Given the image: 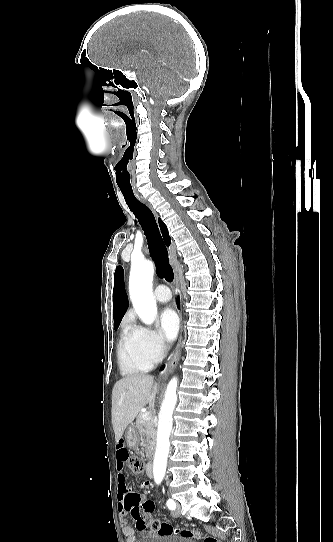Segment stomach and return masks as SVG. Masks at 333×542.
<instances>
[{"instance_id":"obj_1","label":"stomach","mask_w":333,"mask_h":542,"mask_svg":"<svg viewBox=\"0 0 333 542\" xmlns=\"http://www.w3.org/2000/svg\"><path fill=\"white\" fill-rule=\"evenodd\" d=\"M125 440L129 448H136V446H138L139 436H138L137 428L136 426H133V424H131V426H128L127 432L125 434Z\"/></svg>"}]
</instances>
